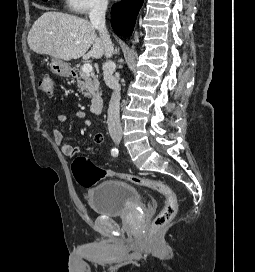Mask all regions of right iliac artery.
Returning <instances> with one entry per match:
<instances>
[{
  "label": "right iliac artery",
  "instance_id": "82829eb1",
  "mask_svg": "<svg viewBox=\"0 0 255 272\" xmlns=\"http://www.w3.org/2000/svg\"><path fill=\"white\" fill-rule=\"evenodd\" d=\"M118 153H119V151H118L117 148H112V149H111V155H112L113 157H117V156H118Z\"/></svg>",
  "mask_w": 255,
  "mask_h": 272
}]
</instances>
